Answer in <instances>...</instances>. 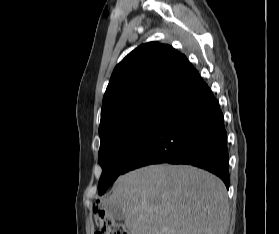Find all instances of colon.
I'll return each mask as SVG.
<instances>
[{"instance_id": "colon-1", "label": "colon", "mask_w": 279, "mask_h": 234, "mask_svg": "<svg viewBox=\"0 0 279 234\" xmlns=\"http://www.w3.org/2000/svg\"><path fill=\"white\" fill-rule=\"evenodd\" d=\"M96 223L98 230L95 234H129L121 223L109 217L102 208L96 209Z\"/></svg>"}]
</instances>
